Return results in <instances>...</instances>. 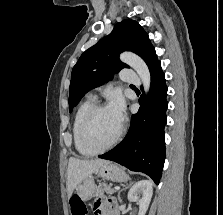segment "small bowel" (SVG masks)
<instances>
[{
  "label": "small bowel",
  "mask_w": 223,
  "mask_h": 215,
  "mask_svg": "<svg viewBox=\"0 0 223 215\" xmlns=\"http://www.w3.org/2000/svg\"><path fill=\"white\" fill-rule=\"evenodd\" d=\"M93 211L95 215H115L112 201L103 197L96 200Z\"/></svg>",
  "instance_id": "obj_1"
}]
</instances>
